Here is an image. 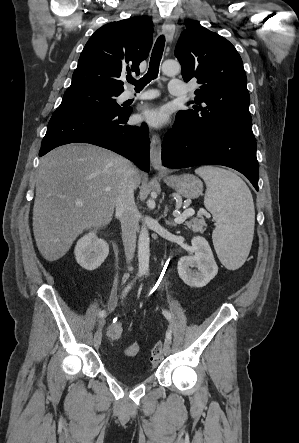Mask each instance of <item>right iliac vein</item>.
Returning <instances> with one entry per match:
<instances>
[{
	"instance_id": "obj_1",
	"label": "right iliac vein",
	"mask_w": 299,
	"mask_h": 443,
	"mask_svg": "<svg viewBox=\"0 0 299 443\" xmlns=\"http://www.w3.org/2000/svg\"><path fill=\"white\" fill-rule=\"evenodd\" d=\"M99 324H100V326L103 324V320H100L99 321ZM101 339H102V333H101V327H99L98 329H97V331L95 332V334H94V339H93V343H94V346L97 348V347H99L100 346V344H101Z\"/></svg>"
}]
</instances>
